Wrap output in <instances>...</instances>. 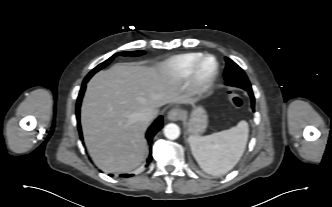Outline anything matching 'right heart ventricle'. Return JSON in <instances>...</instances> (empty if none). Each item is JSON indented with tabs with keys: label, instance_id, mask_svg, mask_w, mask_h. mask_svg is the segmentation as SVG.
<instances>
[{
	"label": "right heart ventricle",
	"instance_id": "1",
	"mask_svg": "<svg viewBox=\"0 0 332 207\" xmlns=\"http://www.w3.org/2000/svg\"><path fill=\"white\" fill-rule=\"evenodd\" d=\"M203 54L190 52L172 56L163 63L166 73L173 79L180 80L189 76L192 66Z\"/></svg>",
	"mask_w": 332,
	"mask_h": 207
}]
</instances>
